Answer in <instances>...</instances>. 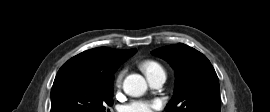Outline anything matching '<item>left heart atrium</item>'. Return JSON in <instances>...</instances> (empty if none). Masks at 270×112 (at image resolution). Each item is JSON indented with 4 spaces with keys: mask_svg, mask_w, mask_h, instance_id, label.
I'll list each match as a JSON object with an SVG mask.
<instances>
[{
    "mask_svg": "<svg viewBox=\"0 0 270 112\" xmlns=\"http://www.w3.org/2000/svg\"><path fill=\"white\" fill-rule=\"evenodd\" d=\"M159 101H132L123 106L122 112H153L160 108Z\"/></svg>",
    "mask_w": 270,
    "mask_h": 112,
    "instance_id": "39dd6f15",
    "label": "left heart atrium"
}]
</instances>
